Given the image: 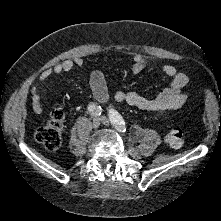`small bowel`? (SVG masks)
Masks as SVG:
<instances>
[{
    "label": "small bowel",
    "instance_id": "c3829d8e",
    "mask_svg": "<svg viewBox=\"0 0 221 221\" xmlns=\"http://www.w3.org/2000/svg\"><path fill=\"white\" fill-rule=\"evenodd\" d=\"M148 62L149 60L146 56L140 53L133 54L131 72H140ZM83 64L84 60L81 57H75L64 60L40 74L37 82L31 88L33 107L38 115H42L43 113L40 93L46 82L55 75L69 72L74 67H80ZM162 71L166 76L171 78V83L168 88L161 91L154 98H147L133 91H117L114 94L115 101L118 103H127L138 109L159 114L179 109L188 99L187 93L183 91L188 83V76L170 64L163 65ZM90 87L95 100L99 104H105L108 101L109 93L105 77L100 70H94L90 74Z\"/></svg>",
    "mask_w": 221,
    "mask_h": 221
}]
</instances>
